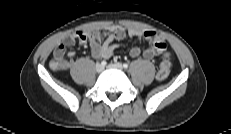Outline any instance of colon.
Here are the masks:
<instances>
[{
    "mask_svg": "<svg viewBox=\"0 0 231 134\" xmlns=\"http://www.w3.org/2000/svg\"><path fill=\"white\" fill-rule=\"evenodd\" d=\"M117 36L120 38L124 37V33L123 32H118ZM68 66V62L64 59H53L51 61V67L54 69H65ZM170 73V60H169V54L166 53L164 55V59L163 61L160 63L158 72H157V79L160 81L165 80Z\"/></svg>",
    "mask_w": 231,
    "mask_h": 134,
    "instance_id": "obj_1",
    "label": "colon"
}]
</instances>
